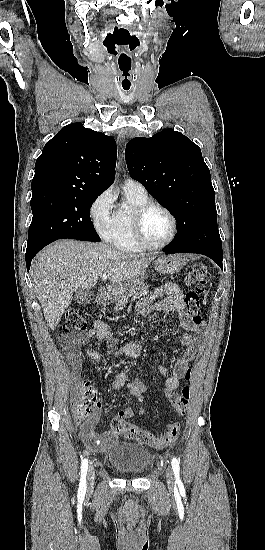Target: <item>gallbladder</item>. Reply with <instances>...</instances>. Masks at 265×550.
<instances>
[{"instance_id":"bac80fb5","label":"gallbladder","mask_w":265,"mask_h":550,"mask_svg":"<svg viewBox=\"0 0 265 550\" xmlns=\"http://www.w3.org/2000/svg\"><path fill=\"white\" fill-rule=\"evenodd\" d=\"M94 298V293L91 289L78 290L74 296V299L79 304H87Z\"/></svg>"}]
</instances>
